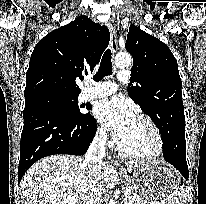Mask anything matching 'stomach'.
Wrapping results in <instances>:
<instances>
[{
    "label": "stomach",
    "instance_id": "1",
    "mask_svg": "<svg viewBox=\"0 0 206 204\" xmlns=\"http://www.w3.org/2000/svg\"><path fill=\"white\" fill-rule=\"evenodd\" d=\"M121 172L128 186L149 203L165 201L180 183L177 171L163 161L136 163Z\"/></svg>",
    "mask_w": 206,
    "mask_h": 204
}]
</instances>
